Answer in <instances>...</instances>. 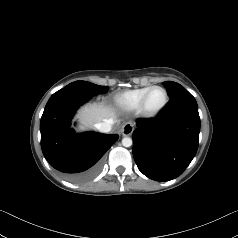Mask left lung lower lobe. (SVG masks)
Returning <instances> with one entry per match:
<instances>
[{
    "label": "left lung lower lobe",
    "instance_id": "left-lung-lower-lobe-1",
    "mask_svg": "<svg viewBox=\"0 0 238 238\" xmlns=\"http://www.w3.org/2000/svg\"><path fill=\"white\" fill-rule=\"evenodd\" d=\"M133 156L138 169L155 181L181 175L198 149L200 117L195 98L180 92L152 120L136 123Z\"/></svg>",
    "mask_w": 238,
    "mask_h": 238
}]
</instances>
